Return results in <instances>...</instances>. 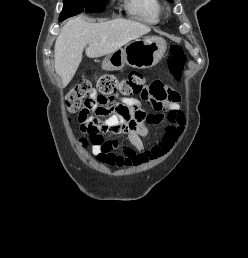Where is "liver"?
Wrapping results in <instances>:
<instances>
[{
    "instance_id": "6515ba94",
    "label": "liver",
    "mask_w": 248,
    "mask_h": 258,
    "mask_svg": "<svg viewBox=\"0 0 248 258\" xmlns=\"http://www.w3.org/2000/svg\"><path fill=\"white\" fill-rule=\"evenodd\" d=\"M144 24L127 19L88 23L82 17L70 19L62 28L54 47L55 71L65 87L75 75L86 45V55H109L128 42L149 33Z\"/></svg>"
}]
</instances>
